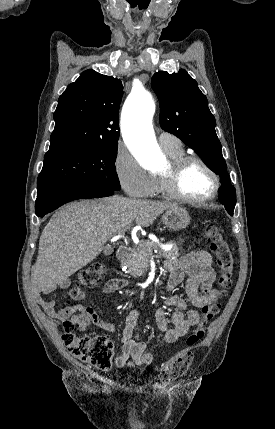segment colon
Segmentation results:
<instances>
[{
    "label": "colon",
    "instance_id": "obj_1",
    "mask_svg": "<svg viewBox=\"0 0 275 429\" xmlns=\"http://www.w3.org/2000/svg\"><path fill=\"white\" fill-rule=\"evenodd\" d=\"M205 235L212 252L216 256L217 265L221 269V276L218 283L220 286V296L224 297L232 286L233 253L228 242L216 226H207ZM106 271V266L102 263L87 265L79 271L76 283L72 287L79 288V285L88 287L97 286L102 281ZM220 307L219 302L203 307L201 321L186 339L188 347L194 346L203 338L205 324L218 314ZM64 329L63 340L70 353L77 360L89 364L100 371H106L110 368L114 355V345L107 336L97 335L89 337L75 334L73 332L74 325L70 322L64 323ZM193 359L194 356L190 349L180 351L166 363L161 372L160 380L162 382H171L184 376L192 365Z\"/></svg>",
    "mask_w": 275,
    "mask_h": 429
}]
</instances>
